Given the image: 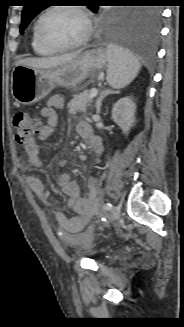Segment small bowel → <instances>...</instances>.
I'll return each instance as SVG.
<instances>
[{
  "mask_svg": "<svg viewBox=\"0 0 184 327\" xmlns=\"http://www.w3.org/2000/svg\"><path fill=\"white\" fill-rule=\"evenodd\" d=\"M63 106V97L58 95L51 97L47 102V106L40 111V116L46 119L47 123L41 128L37 139L24 145L26 154L36 168L42 166L39 143L46 141L47 138L54 134L58 122L55 109L62 108ZM76 131L98 153L101 152V140L93 133L88 124L79 123L76 126ZM57 180L73 212L72 215L66 216L61 212L55 211L57 221L60 227L66 232H80L87 225L90 218L93 217L94 212H99L97 181L94 178L87 180V192L85 195H82L78 184L72 181L68 175L59 173L57 174ZM28 182L30 188L41 202L45 204L53 203L50 192L46 189L45 184L39 177L32 175L29 177Z\"/></svg>",
  "mask_w": 184,
  "mask_h": 327,
  "instance_id": "small-bowel-1",
  "label": "small bowel"
}]
</instances>
